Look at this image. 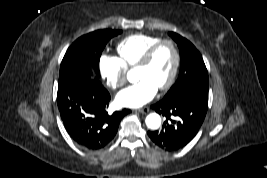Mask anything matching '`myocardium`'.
Instances as JSON below:
<instances>
[{
    "mask_svg": "<svg viewBox=\"0 0 267 178\" xmlns=\"http://www.w3.org/2000/svg\"><path fill=\"white\" fill-rule=\"evenodd\" d=\"M165 44H167L171 47V50H172L173 56H174V61H173V66H172L171 73H170L168 79L158 88V90H160V91L167 90L168 88H170L173 85V83L176 79L178 70H179L181 56H180V51L178 49L176 42L170 38L160 39L159 41H157L155 44H153L145 52V54L143 55V57L141 58V60L137 64L138 68L147 67L151 63V61H152L154 55L156 54V52L158 51V49Z\"/></svg>",
    "mask_w": 267,
    "mask_h": 178,
    "instance_id": "obj_1",
    "label": "myocardium"
}]
</instances>
